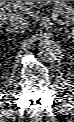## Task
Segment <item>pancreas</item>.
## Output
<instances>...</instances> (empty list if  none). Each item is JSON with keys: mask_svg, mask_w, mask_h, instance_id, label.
Masks as SVG:
<instances>
[{"mask_svg": "<svg viewBox=\"0 0 74 122\" xmlns=\"http://www.w3.org/2000/svg\"><path fill=\"white\" fill-rule=\"evenodd\" d=\"M27 2V5L30 9L38 7L40 4L51 5L58 12L61 14L66 24H70L73 22L74 19V8L67 2V1H24Z\"/></svg>", "mask_w": 74, "mask_h": 122, "instance_id": "1", "label": "pancreas"}]
</instances>
